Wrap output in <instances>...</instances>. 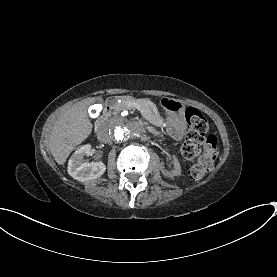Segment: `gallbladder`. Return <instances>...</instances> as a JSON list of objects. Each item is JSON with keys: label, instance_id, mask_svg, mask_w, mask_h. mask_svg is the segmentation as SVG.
Listing matches in <instances>:
<instances>
[{"label": "gallbladder", "instance_id": "1", "mask_svg": "<svg viewBox=\"0 0 277 277\" xmlns=\"http://www.w3.org/2000/svg\"><path fill=\"white\" fill-rule=\"evenodd\" d=\"M96 102H102V99H96Z\"/></svg>", "mask_w": 277, "mask_h": 277}]
</instances>
